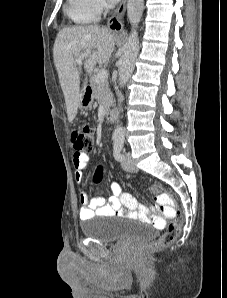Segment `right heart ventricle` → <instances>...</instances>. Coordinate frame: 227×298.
Wrapping results in <instances>:
<instances>
[{"label":"right heart ventricle","instance_id":"1","mask_svg":"<svg viewBox=\"0 0 227 298\" xmlns=\"http://www.w3.org/2000/svg\"><path fill=\"white\" fill-rule=\"evenodd\" d=\"M65 13L76 23H90L97 15L90 11L81 0H67Z\"/></svg>","mask_w":227,"mask_h":298}]
</instances>
